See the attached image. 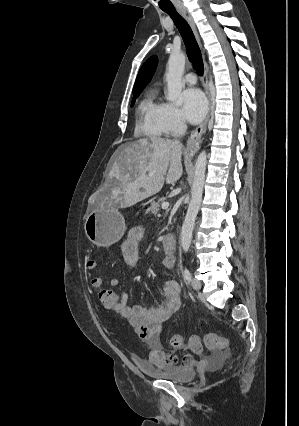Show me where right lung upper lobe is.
<instances>
[{
  "label": "right lung upper lobe",
  "instance_id": "cb5924a9",
  "mask_svg": "<svg viewBox=\"0 0 299 426\" xmlns=\"http://www.w3.org/2000/svg\"><path fill=\"white\" fill-rule=\"evenodd\" d=\"M157 67V57H150L141 67L136 78L133 92L142 91L144 87L150 82L155 69Z\"/></svg>",
  "mask_w": 299,
  "mask_h": 426
}]
</instances>
